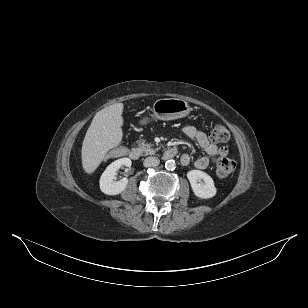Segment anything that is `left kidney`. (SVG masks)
Segmentation results:
<instances>
[{
  "mask_svg": "<svg viewBox=\"0 0 308 308\" xmlns=\"http://www.w3.org/2000/svg\"><path fill=\"white\" fill-rule=\"evenodd\" d=\"M194 194L201 199H209L216 195L213 179L203 171L191 170L187 173Z\"/></svg>",
  "mask_w": 308,
  "mask_h": 308,
  "instance_id": "left-kidney-1",
  "label": "left kidney"
}]
</instances>
